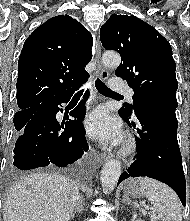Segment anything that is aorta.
I'll list each match as a JSON object with an SVG mask.
<instances>
[{
    "instance_id": "aorta-1",
    "label": "aorta",
    "mask_w": 190,
    "mask_h": 221,
    "mask_svg": "<svg viewBox=\"0 0 190 221\" xmlns=\"http://www.w3.org/2000/svg\"><path fill=\"white\" fill-rule=\"evenodd\" d=\"M102 62L106 67L116 68L121 62L117 53H105ZM121 174V163L117 160H109L101 171L100 180L102 186L113 190Z\"/></svg>"
}]
</instances>
